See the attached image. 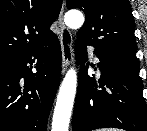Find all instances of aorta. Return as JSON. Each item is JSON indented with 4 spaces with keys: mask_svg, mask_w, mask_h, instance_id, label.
Returning a JSON list of instances; mask_svg holds the SVG:
<instances>
[{
    "mask_svg": "<svg viewBox=\"0 0 147 131\" xmlns=\"http://www.w3.org/2000/svg\"><path fill=\"white\" fill-rule=\"evenodd\" d=\"M65 24L71 29H79L84 23V16L78 10L65 14ZM77 88V74L71 68L65 75L57 96L52 120V131H68L72 108Z\"/></svg>",
    "mask_w": 147,
    "mask_h": 131,
    "instance_id": "aorta-1",
    "label": "aorta"
}]
</instances>
